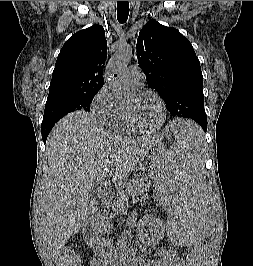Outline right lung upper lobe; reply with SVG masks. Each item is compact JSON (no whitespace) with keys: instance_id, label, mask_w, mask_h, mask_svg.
I'll return each instance as SVG.
<instances>
[{"instance_id":"1","label":"right lung upper lobe","mask_w":253,"mask_h":266,"mask_svg":"<svg viewBox=\"0 0 253 266\" xmlns=\"http://www.w3.org/2000/svg\"><path fill=\"white\" fill-rule=\"evenodd\" d=\"M106 57L107 41L102 26L94 25L75 33L58 55L49 95L99 90L104 84Z\"/></svg>"}]
</instances>
